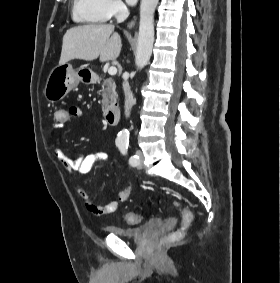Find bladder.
Segmentation results:
<instances>
[{"label": "bladder", "instance_id": "bladder-1", "mask_svg": "<svg viewBox=\"0 0 280 283\" xmlns=\"http://www.w3.org/2000/svg\"><path fill=\"white\" fill-rule=\"evenodd\" d=\"M163 223L164 220L161 218H152L144 224L136 226L109 225L104 228V232L135 242H140L152 233L158 231Z\"/></svg>", "mask_w": 280, "mask_h": 283}]
</instances>
